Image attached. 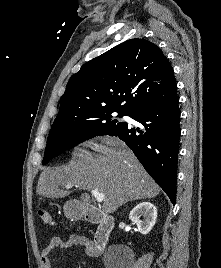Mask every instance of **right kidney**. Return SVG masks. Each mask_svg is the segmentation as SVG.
I'll list each match as a JSON object with an SVG mask.
<instances>
[{
	"label": "right kidney",
	"instance_id": "ca27d5eb",
	"mask_svg": "<svg viewBox=\"0 0 221 268\" xmlns=\"http://www.w3.org/2000/svg\"><path fill=\"white\" fill-rule=\"evenodd\" d=\"M140 216H143L144 220H140ZM129 218L137 225L139 232L146 235L155 225L157 208L150 202L139 203L130 211Z\"/></svg>",
	"mask_w": 221,
	"mask_h": 268
}]
</instances>
